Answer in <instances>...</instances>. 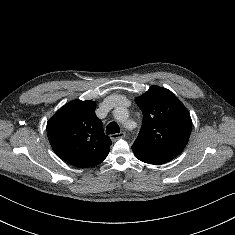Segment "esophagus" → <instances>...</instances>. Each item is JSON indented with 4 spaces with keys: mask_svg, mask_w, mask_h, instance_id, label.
Masks as SVG:
<instances>
[{
    "mask_svg": "<svg viewBox=\"0 0 235 235\" xmlns=\"http://www.w3.org/2000/svg\"><path fill=\"white\" fill-rule=\"evenodd\" d=\"M126 136V133L125 132H120V133H115V134H112L111 135V140L112 141H116L117 139L119 138H124Z\"/></svg>",
    "mask_w": 235,
    "mask_h": 235,
    "instance_id": "obj_1",
    "label": "esophagus"
}]
</instances>
